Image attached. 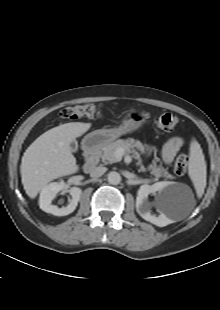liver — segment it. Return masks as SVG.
Listing matches in <instances>:
<instances>
[{
    "label": "liver",
    "mask_w": 220,
    "mask_h": 310,
    "mask_svg": "<svg viewBox=\"0 0 220 310\" xmlns=\"http://www.w3.org/2000/svg\"><path fill=\"white\" fill-rule=\"evenodd\" d=\"M91 123L72 122L40 135L24 152L20 166L26 194L34 199L50 181L79 170L70 143L82 136Z\"/></svg>",
    "instance_id": "1"
}]
</instances>
